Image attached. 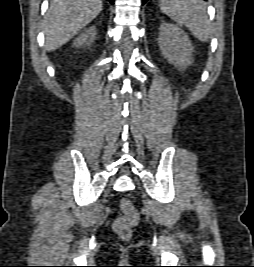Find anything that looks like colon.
Listing matches in <instances>:
<instances>
[{
	"mask_svg": "<svg viewBox=\"0 0 254 267\" xmlns=\"http://www.w3.org/2000/svg\"><path fill=\"white\" fill-rule=\"evenodd\" d=\"M120 209L122 216L114 221L113 228L122 239H129L132 228L139 221V214L132 202L128 199H122L120 201Z\"/></svg>",
	"mask_w": 254,
	"mask_h": 267,
	"instance_id": "1",
	"label": "colon"
}]
</instances>
